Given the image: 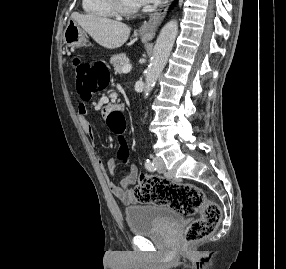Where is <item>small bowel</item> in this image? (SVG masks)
I'll list each match as a JSON object with an SVG mask.
<instances>
[{
	"label": "small bowel",
	"mask_w": 286,
	"mask_h": 269,
	"mask_svg": "<svg viewBox=\"0 0 286 269\" xmlns=\"http://www.w3.org/2000/svg\"><path fill=\"white\" fill-rule=\"evenodd\" d=\"M100 109L102 110L100 111V120H108V116L111 115L110 108H108L107 105H101ZM87 115H88L87 105L85 101H80L77 106L78 120L85 134L88 135L92 140H94V130L87 118ZM121 142L124 141L121 140ZM97 160L104 174V177L108 182L109 189L113 193V195L120 201H122L124 204H133L136 201V196L134 191L129 188V185H131L136 179V173H137L136 166L133 163H131L129 159L127 163H125L124 159L121 158L120 155H117L116 162L127 165L129 168V174L123 180L122 185H116L111 181L109 171L108 169L105 168L103 160L100 155H97Z\"/></svg>",
	"instance_id": "obj_1"
}]
</instances>
